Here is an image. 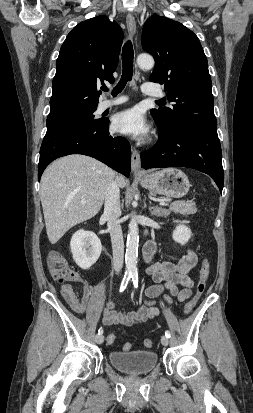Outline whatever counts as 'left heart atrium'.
I'll return each instance as SVG.
<instances>
[{
	"label": "left heart atrium",
	"mask_w": 253,
	"mask_h": 413,
	"mask_svg": "<svg viewBox=\"0 0 253 413\" xmlns=\"http://www.w3.org/2000/svg\"><path fill=\"white\" fill-rule=\"evenodd\" d=\"M112 129L120 134L133 138H143L148 135L150 126L140 108L134 107L114 115Z\"/></svg>",
	"instance_id": "obj_1"
}]
</instances>
